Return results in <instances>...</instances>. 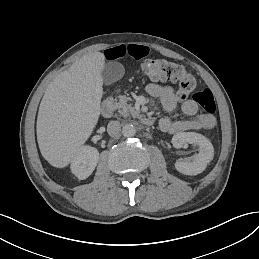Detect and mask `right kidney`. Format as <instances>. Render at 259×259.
Returning <instances> with one entry per match:
<instances>
[{"instance_id":"right-kidney-1","label":"right kidney","mask_w":259,"mask_h":259,"mask_svg":"<svg viewBox=\"0 0 259 259\" xmlns=\"http://www.w3.org/2000/svg\"><path fill=\"white\" fill-rule=\"evenodd\" d=\"M99 160V152L96 148L85 147L74 158L72 172L81 180L88 178L94 171Z\"/></svg>"}]
</instances>
